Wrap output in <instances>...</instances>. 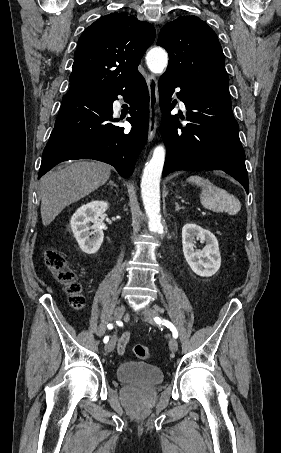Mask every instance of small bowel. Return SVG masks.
I'll use <instances>...</instances> for the list:
<instances>
[{
    "label": "small bowel",
    "mask_w": 281,
    "mask_h": 453,
    "mask_svg": "<svg viewBox=\"0 0 281 453\" xmlns=\"http://www.w3.org/2000/svg\"><path fill=\"white\" fill-rule=\"evenodd\" d=\"M128 337H129L128 332H125V333L121 336V338H120V340H119V342H118L117 349L119 350V354H120V355H123V354H124V350H125V348H126V346H127Z\"/></svg>",
    "instance_id": "c3829d8e"
}]
</instances>
